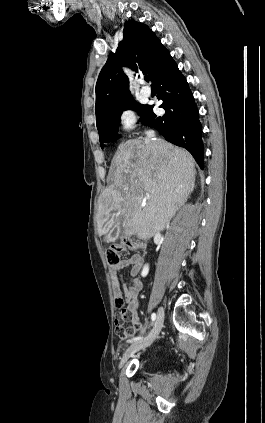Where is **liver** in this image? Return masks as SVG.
I'll use <instances>...</instances> for the list:
<instances>
[{
  "label": "liver",
  "instance_id": "liver-1",
  "mask_svg": "<svg viewBox=\"0 0 265 423\" xmlns=\"http://www.w3.org/2000/svg\"><path fill=\"white\" fill-rule=\"evenodd\" d=\"M191 154L156 139H131L119 145L110 167L113 181L99 198L97 229L105 235L120 219L124 234L151 238L162 231L195 186ZM149 198L145 206V195Z\"/></svg>",
  "mask_w": 265,
  "mask_h": 423
}]
</instances>
